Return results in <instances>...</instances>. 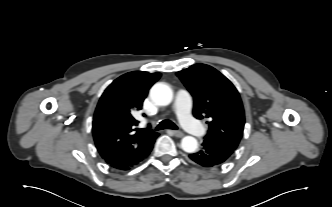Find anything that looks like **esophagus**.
<instances>
[{
    "label": "esophagus",
    "instance_id": "obj_1",
    "mask_svg": "<svg viewBox=\"0 0 332 207\" xmlns=\"http://www.w3.org/2000/svg\"><path fill=\"white\" fill-rule=\"evenodd\" d=\"M172 133L175 137H178V138H181L184 136V133L181 131L173 130Z\"/></svg>",
    "mask_w": 332,
    "mask_h": 207
}]
</instances>
